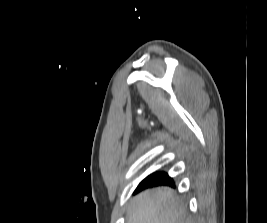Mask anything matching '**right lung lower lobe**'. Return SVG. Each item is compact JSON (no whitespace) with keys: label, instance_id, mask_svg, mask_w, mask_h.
I'll list each match as a JSON object with an SVG mask.
<instances>
[{"label":"right lung lower lobe","instance_id":"obj_1","mask_svg":"<svg viewBox=\"0 0 267 223\" xmlns=\"http://www.w3.org/2000/svg\"><path fill=\"white\" fill-rule=\"evenodd\" d=\"M158 185H170L174 186L173 180L166 173H154L144 179L136 189V192Z\"/></svg>","mask_w":267,"mask_h":223}]
</instances>
